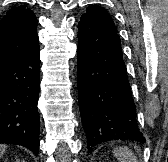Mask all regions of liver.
Listing matches in <instances>:
<instances>
[{
	"instance_id": "obj_1",
	"label": "liver",
	"mask_w": 168,
	"mask_h": 162,
	"mask_svg": "<svg viewBox=\"0 0 168 162\" xmlns=\"http://www.w3.org/2000/svg\"><path fill=\"white\" fill-rule=\"evenodd\" d=\"M5 150H6V146L0 144V157H1V155L5 152Z\"/></svg>"
}]
</instances>
